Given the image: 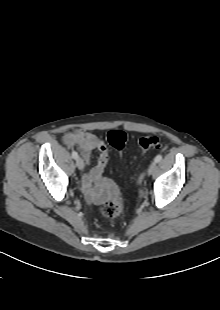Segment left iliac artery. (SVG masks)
<instances>
[{"instance_id": "left-iliac-artery-1", "label": "left iliac artery", "mask_w": 220, "mask_h": 310, "mask_svg": "<svg viewBox=\"0 0 220 310\" xmlns=\"http://www.w3.org/2000/svg\"><path fill=\"white\" fill-rule=\"evenodd\" d=\"M161 160H162V155H157L154 159L156 163L160 162Z\"/></svg>"}]
</instances>
